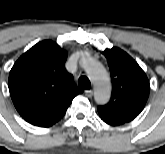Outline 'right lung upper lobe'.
I'll return each instance as SVG.
<instances>
[{
	"label": "right lung upper lobe",
	"mask_w": 165,
	"mask_h": 154,
	"mask_svg": "<svg viewBox=\"0 0 165 154\" xmlns=\"http://www.w3.org/2000/svg\"><path fill=\"white\" fill-rule=\"evenodd\" d=\"M66 58L67 53L59 45L45 40L15 62L9 74V92L25 120L82 93L65 70Z\"/></svg>",
	"instance_id": "1"
}]
</instances>
